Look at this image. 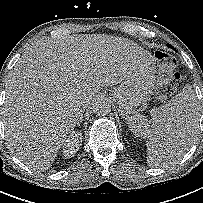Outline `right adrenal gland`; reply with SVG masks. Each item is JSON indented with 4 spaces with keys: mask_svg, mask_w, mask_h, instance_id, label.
<instances>
[{
    "mask_svg": "<svg viewBox=\"0 0 203 203\" xmlns=\"http://www.w3.org/2000/svg\"><path fill=\"white\" fill-rule=\"evenodd\" d=\"M83 112H84V109H81L80 121H79L78 124H77L78 127H79L80 124L83 122Z\"/></svg>",
    "mask_w": 203,
    "mask_h": 203,
    "instance_id": "obj_1",
    "label": "right adrenal gland"
}]
</instances>
